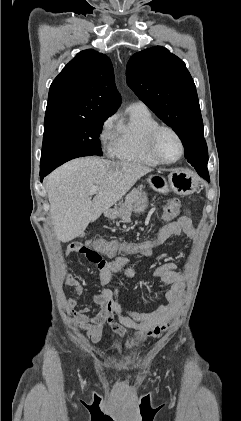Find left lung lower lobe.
<instances>
[{
	"label": "left lung lower lobe",
	"instance_id": "obj_1",
	"mask_svg": "<svg viewBox=\"0 0 241 421\" xmlns=\"http://www.w3.org/2000/svg\"><path fill=\"white\" fill-rule=\"evenodd\" d=\"M188 162L195 168V170L198 172V174L203 177L204 179H206L207 181L209 180V174H208V170L206 166H202V165H197L194 162H192L191 160H188Z\"/></svg>",
	"mask_w": 241,
	"mask_h": 421
}]
</instances>
